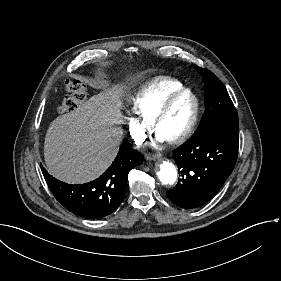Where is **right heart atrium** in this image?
Masks as SVG:
<instances>
[{
  "label": "right heart atrium",
  "instance_id": "obj_1",
  "mask_svg": "<svg viewBox=\"0 0 281 281\" xmlns=\"http://www.w3.org/2000/svg\"><path fill=\"white\" fill-rule=\"evenodd\" d=\"M125 121L129 129L130 137L135 143H140L145 136V130L135 122L130 112L125 116Z\"/></svg>",
  "mask_w": 281,
  "mask_h": 281
}]
</instances>
